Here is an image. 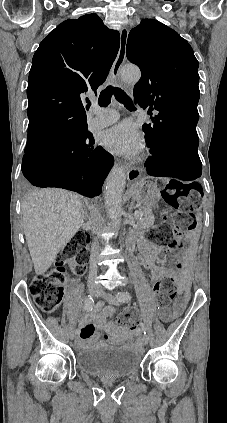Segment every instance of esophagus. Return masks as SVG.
<instances>
[{
  "mask_svg": "<svg viewBox=\"0 0 227 423\" xmlns=\"http://www.w3.org/2000/svg\"><path fill=\"white\" fill-rule=\"evenodd\" d=\"M129 31L126 27L120 29V48L116 60L111 68V78L114 82L119 79V71L126 60V45ZM127 179L129 182L137 180L140 177V170L136 166L129 165L126 167Z\"/></svg>",
  "mask_w": 227,
  "mask_h": 423,
  "instance_id": "1",
  "label": "esophagus"
}]
</instances>
